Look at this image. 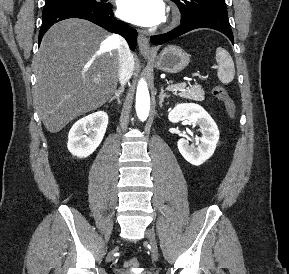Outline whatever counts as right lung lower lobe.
Here are the masks:
<instances>
[{
	"label": "right lung lower lobe",
	"instance_id": "right-lung-lower-lobe-1",
	"mask_svg": "<svg viewBox=\"0 0 289 274\" xmlns=\"http://www.w3.org/2000/svg\"><path fill=\"white\" fill-rule=\"evenodd\" d=\"M68 18H82L89 20L106 30L122 35L132 51L137 43V31L123 21L113 16L112 4H62L43 9L42 25L39 32V43L51 25Z\"/></svg>",
	"mask_w": 289,
	"mask_h": 274
}]
</instances>
